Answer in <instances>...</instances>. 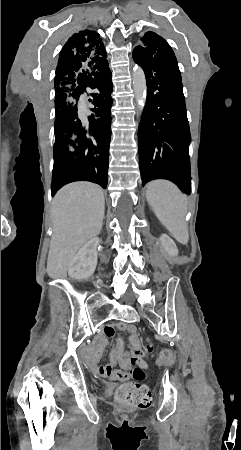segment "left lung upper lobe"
<instances>
[{
	"label": "left lung upper lobe",
	"instance_id": "5c2ea615",
	"mask_svg": "<svg viewBox=\"0 0 241 450\" xmlns=\"http://www.w3.org/2000/svg\"><path fill=\"white\" fill-rule=\"evenodd\" d=\"M140 43L141 45L136 46L135 48L151 54L159 52L168 44L162 37L154 32H146L144 36L140 38Z\"/></svg>",
	"mask_w": 241,
	"mask_h": 450
}]
</instances>
